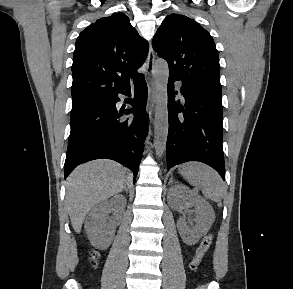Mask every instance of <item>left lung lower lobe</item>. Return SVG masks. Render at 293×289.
<instances>
[{
  "label": "left lung lower lobe",
  "mask_w": 293,
  "mask_h": 289,
  "mask_svg": "<svg viewBox=\"0 0 293 289\" xmlns=\"http://www.w3.org/2000/svg\"><path fill=\"white\" fill-rule=\"evenodd\" d=\"M177 80L181 79L170 76L168 80V169L199 161L214 168L225 180L221 92L182 80L180 92L185 98L182 105L174 100L178 93L174 91Z\"/></svg>",
  "instance_id": "0a47b994"
}]
</instances>
